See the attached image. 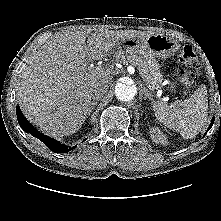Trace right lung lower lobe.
Masks as SVG:
<instances>
[{
    "label": "right lung lower lobe",
    "mask_w": 221,
    "mask_h": 221,
    "mask_svg": "<svg viewBox=\"0 0 221 221\" xmlns=\"http://www.w3.org/2000/svg\"><path fill=\"white\" fill-rule=\"evenodd\" d=\"M17 119L18 123L21 126V128L31 134L32 136L40 139L50 150L56 152V153H67L68 151L74 149V147H69L61 144L60 142L56 141L55 139H52L44 134H41L38 132L30 123L29 121L24 117L22 114V111L18 107L16 109Z\"/></svg>",
    "instance_id": "98d812e1"
}]
</instances>
